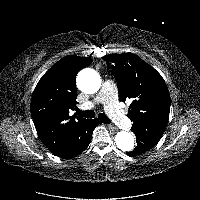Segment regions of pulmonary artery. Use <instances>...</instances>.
I'll use <instances>...</instances> for the list:
<instances>
[{
    "label": "pulmonary artery",
    "instance_id": "pulmonary-artery-1",
    "mask_svg": "<svg viewBox=\"0 0 200 200\" xmlns=\"http://www.w3.org/2000/svg\"><path fill=\"white\" fill-rule=\"evenodd\" d=\"M103 104L111 119L120 127L127 128L130 125L129 118L119 109L117 86L112 80H105L96 97L87 102L85 107H93Z\"/></svg>",
    "mask_w": 200,
    "mask_h": 200
}]
</instances>
